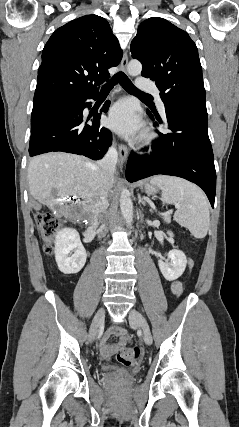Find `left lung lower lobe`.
<instances>
[{"label": "left lung lower lobe", "mask_w": 239, "mask_h": 427, "mask_svg": "<svg viewBox=\"0 0 239 427\" xmlns=\"http://www.w3.org/2000/svg\"><path fill=\"white\" fill-rule=\"evenodd\" d=\"M170 133H159L150 155L131 153L126 179L135 182L156 175H172L187 179L206 193L214 207L216 171L212 146L207 132V111L175 102H164ZM154 125L163 124L157 112L147 111Z\"/></svg>", "instance_id": "obj_1"}]
</instances>
